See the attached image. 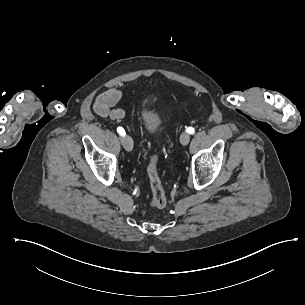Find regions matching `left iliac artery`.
Instances as JSON below:
<instances>
[{
  "mask_svg": "<svg viewBox=\"0 0 305 305\" xmlns=\"http://www.w3.org/2000/svg\"><path fill=\"white\" fill-rule=\"evenodd\" d=\"M186 131H187V133H189V134H193V133L195 132V130H194L193 127H188V128L186 129Z\"/></svg>",
  "mask_w": 305,
  "mask_h": 305,
  "instance_id": "left-iliac-artery-1",
  "label": "left iliac artery"
}]
</instances>
